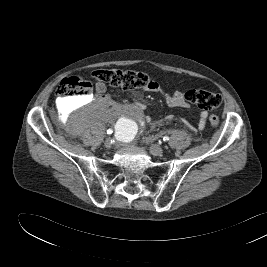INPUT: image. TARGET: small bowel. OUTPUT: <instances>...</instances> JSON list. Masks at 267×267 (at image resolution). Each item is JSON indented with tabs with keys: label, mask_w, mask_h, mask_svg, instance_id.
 Returning <instances> with one entry per match:
<instances>
[{
	"label": "small bowel",
	"mask_w": 267,
	"mask_h": 267,
	"mask_svg": "<svg viewBox=\"0 0 267 267\" xmlns=\"http://www.w3.org/2000/svg\"><path fill=\"white\" fill-rule=\"evenodd\" d=\"M95 89L98 95L103 96L108 101L110 100L109 97L105 95L106 86L104 83L98 82L96 84ZM147 90L160 93L163 96L167 106L170 108H189V103L185 99V94L181 91H175L173 93H169V92L164 91L159 84H156L155 87L151 89H147ZM142 107H143L142 105H137L135 108L138 111H140ZM206 118H207V112L202 111L200 113V119L198 123V127L200 129H203L205 127ZM145 120L147 122H150L151 118L149 116H146Z\"/></svg>",
	"instance_id": "obj_1"
}]
</instances>
